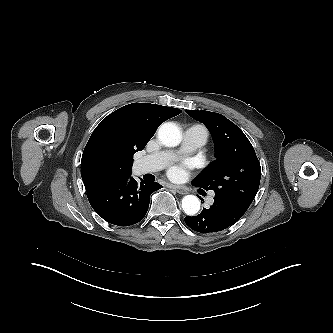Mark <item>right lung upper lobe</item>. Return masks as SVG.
Returning a JSON list of instances; mask_svg holds the SVG:
<instances>
[{"mask_svg":"<svg viewBox=\"0 0 333 333\" xmlns=\"http://www.w3.org/2000/svg\"><path fill=\"white\" fill-rule=\"evenodd\" d=\"M182 111L149 103H132L109 114L93 131L82 155L86 191L131 175L130 152L141 151L161 123Z\"/></svg>","mask_w":333,"mask_h":333,"instance_id":"1","label":"right lung upper lobe"}]
</instances>
